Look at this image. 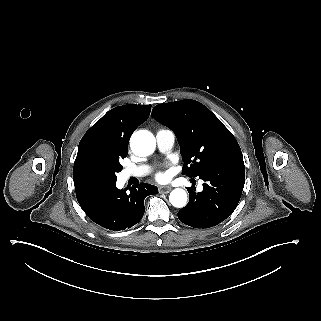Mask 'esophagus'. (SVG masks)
Returning a JSON list of instances; mask_svg holds the SVG:
<instances>
[{"label":"esophagus","instance_id":"obj_1","mask_svg":"<svg viewBox=\"0 0 321 321\" xmlns=\"http://www.w3.org/2000/svg\"><path fill=\"white\" fill-rule=\"evenodd\" d=\"M171 190H172V187H171V186H161V187L159 188V192H160L161 194H167V193H169Z\"/></svg>","mask_w":321,"mask_h":321}]
</instances>
